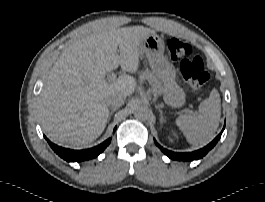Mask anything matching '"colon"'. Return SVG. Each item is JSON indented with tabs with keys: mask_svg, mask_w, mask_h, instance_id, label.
Wrapping results in <instances>:
<instances>
[{
	"mask_svg": "<svg viewBox=\"0 0 265 202\" xmlns=\"http://www.w3.org/2000/svg\"><path fill=\"white\" fill-rule=\"evenodd\" d=\"M167 48L172 60L179 64L180 72L188 85L193 89L203 86L208 80L204 62L194 56L193 47L177 38L167 41Z\"/></svg>",
	"mask_w": 265,
	"mask_h": 202,
	"instance_id": "5ec220e1",
	"label": "colon"
}]
</instances>
